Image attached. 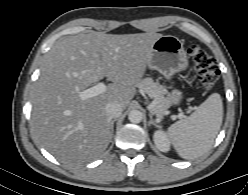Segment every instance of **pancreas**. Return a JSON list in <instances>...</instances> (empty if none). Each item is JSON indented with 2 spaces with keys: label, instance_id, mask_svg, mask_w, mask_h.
<instances>
[{
  "label": "pancreas",
  "instance_id": "cf45deb5",
  "mask_svg": "<svg viewBox=\"0 0 248 195\" xmlns=\"http://www.w3.org/2000/svg\"><path fill=\"white\" fill-rule=\"evenodd\" d=\"M137 86L140 90L147 93L152 99L151 113L157 117H162L167 113L170 107V102L167 97L165 88L158 82H154L152 78H145L141 80Z\"/></svg>",
  "mask_w": 248,
  "mask_h": 195
}]
</instances>
